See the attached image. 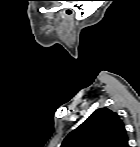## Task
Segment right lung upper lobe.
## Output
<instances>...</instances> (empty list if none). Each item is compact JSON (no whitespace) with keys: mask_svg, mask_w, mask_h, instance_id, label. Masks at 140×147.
<instances>
[{"mask_svg":"<svg viewBox=\"0 0 140 147\" xmlns=\"http://www.w3.org/2000/svg\"><path fill=\"white\" fill-rule=\"evenodd\" d=\"M61 147H128V136L117 113L99 108L68 134Z\"/></svg>","mask_w":140,"mask_h":147,"instance_id":"1","label":"right lung upper lobe"}]
</instances>
